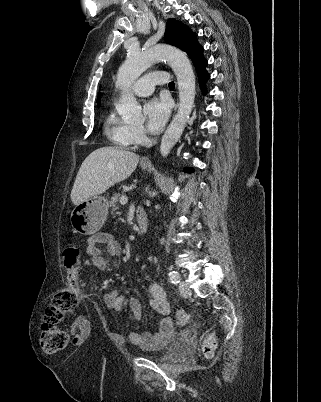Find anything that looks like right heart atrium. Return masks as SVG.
<instances>
[{
  "label": "right heart atrium",
  "mask_w": 321,
  "mask_h": 402,
  "mask_svg": "<svg viewBox=\"0 0 321 402\" xmlns=\"http://www.w3.org/2000/svg\"><path fill=\"white\" fill-rule=\"evenodd\" d=\"M133 137L136 144L142 145L146 142L145 131L141 126H134Z\"/></svg>",
  "instance_id": "right-heart-atrium-1"
}]
</instances>
